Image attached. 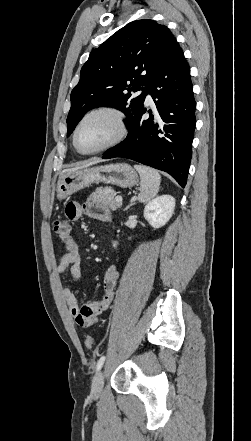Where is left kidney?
Segmentation results:
<instances>
[{
    "label": "left kidney",
    "instance_id": "5707ae66",
    "mask_svg": "<svg viewBox=\"0 0 251 441\" xmlns=\"http://www.w3.org/2000/svg\"><path fill=\"white\" fill-rule=\"evenodd\" d=\"M175 208V198L162 195L150 201L144 209V218L154 228L164 226L172 217Z\"/></svg>",
    "mask_w": 251,
    "mask_h": 441
}]
</instances>
